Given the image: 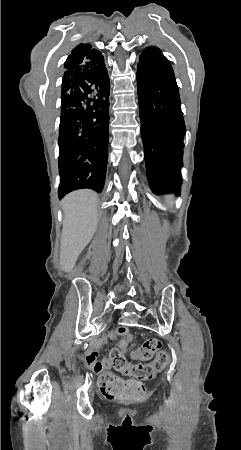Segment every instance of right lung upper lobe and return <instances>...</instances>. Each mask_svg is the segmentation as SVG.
<instances>
[{"mask_svg": "<svg viewBox=\"0 0 241 450\" xmlns=\"http://www.w3.org/2000/svg\"><path fill=\"white\" fill-rule=\"evenodd\" d=\"M104 60L101 52L89 43L77 45L67 58L64 67L66 70H76L81 67L97 65Z\"/></svg>", "mask_w": 241, "mask_h": 450, "instance_id": "cb5924a9", "label": "right lung upper lobe"}]
</instances>
